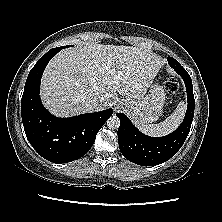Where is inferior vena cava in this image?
Segmentation results:
<instances>
[{
    "mask_svg": "<svg viewBox=\"0 0 222 222\" xmlns=\"http://www.w3.org/2000/svg\"><path fill=\"white\" fill-rule=\"evenodd\" d=\"M85 107L89 110V111H98L99 107H100V103L99 100L97 98H87L84 102Z\"/></svg>",
    "mask_w": 222,
    "mask_h": 222,
    "instance_id": "obj_1",
    "label": "inferior vena cava"
}]
</instances>
